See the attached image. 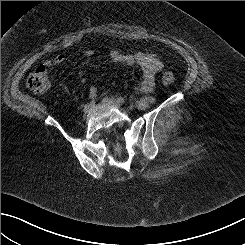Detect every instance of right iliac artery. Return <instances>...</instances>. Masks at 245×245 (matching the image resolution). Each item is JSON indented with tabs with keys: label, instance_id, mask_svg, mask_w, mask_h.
<instances>
[{
	"label": "right iliac artery",
	"instance_id": "obj_1",
	"mask_svg": "<svg viewBox=\"0 0 245 245\" xmlns=\"http://www.w3.org/2000/svg\"><path fill=\"white\" fill-rule=\"evenodd\" d=\"M95 102H96V99H95L94 97H92V100H91L90 104H91L92 106H94Z\"/></svg>",
	"mask_w": 245,
	"mask_h": 245
}]
</instances>
